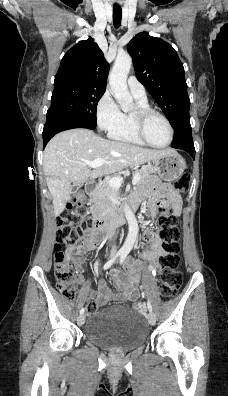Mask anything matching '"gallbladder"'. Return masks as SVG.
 Masks as SVG:
<instances>
[{
    "mask_svg": "<svg viewBox=\"0 0 228 396\" xmlns=\"http://www.w3.org/2000/svg\"><path fill=\"white\" fill-rule=\"evenodd\" d=\"M80 187V185H74V190H78Z\"/></svg>",
    "mask_w": 228,
    "mask_h": 396,
    "instance_id": "gallbladder-1",
    "label": "gallbladder"
}]
</instances>
